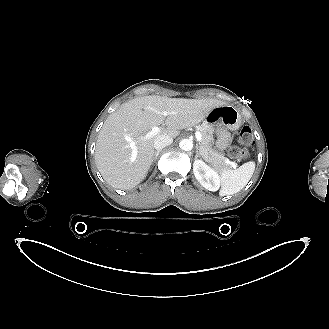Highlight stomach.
<instances>
[{
    "label": "stomach",
    "instance_id": "0dacf381",
    "mask_svg": "<svg viewBox=\"0 0 329 329\" xmlns=\"http://www.w3.org/2000/svg\"><path fill=\"white\" fill-rule=\"evenodd\" d=\"M205 120L209 123L220 122L229 130L234 131L242 125V117L239 111L231 105H221L213 108Z\"/></svg>",
    "mask_w": 329,
    "mask_h": 329
}]
</instances>
